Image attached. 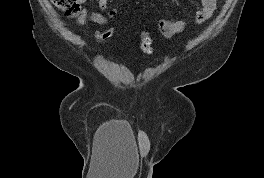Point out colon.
<instances>
[{"mask_svg": "<svg viewBox=\"0 0 264 178\" xmlns=\"http://www.w3.org/2000/svg\"><path fill=\"white\" fill-rule=\"evenodd\" d=\"M56 8L69 17H77L80 13V0H51ZM114 28L109 27L97 36L98 41L105 42L112 37ZM140 49L145 54H151L153 50L152 37L148 30L141 33Z\"/></svg>", "mask_w": 264, "mask_h": 178, "instance_id": "obj_1", "label": "colon"}]
</instances>
